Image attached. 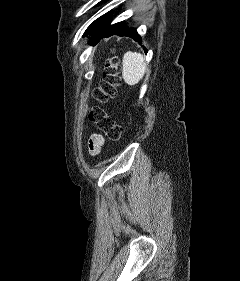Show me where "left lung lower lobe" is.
<instances>
[{
	"label": "left lung lower lobe",
	"mask_w": 240,
	"mask_h": 281,
	"mask_svg": "<svg viewBox=\"0 0 240 281\" xmlns=\"http://www.w3.org/2000/svg\"><path fill=\"white\" fill-rule=\"evenodd\" d=\"M109 14L110 12L96 19L85 31L84 34L93 35L91 42L99 41L103 37L112 35L127 36L133 38L135 41L141 42V37L137 31L134 28H127L124 22L110 25L111 19Z\"/></svg>",
	"instance_id": "0a47b994"
}]
</instances>
